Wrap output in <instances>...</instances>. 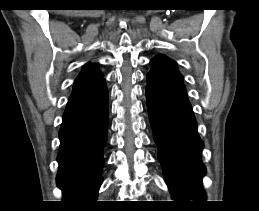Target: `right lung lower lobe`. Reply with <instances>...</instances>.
<instances>
[{"mask_svg":"<svg viewBox=\"0 0 259 211\" xmlns=\"http://www.w3.org/2000/svg\"><path fill=\"white\" fill-rule=\"evenodd\" d=\"M108 126L105 81L68 100L59 131L57 184L64 202L94 201L102 183L103 147Z\"/></svg>","mask_w":259,"mask_h":211,"instance_id":"right-lung-lower-lobe-1","label":"right lung lower lobe"}]
</instances>
